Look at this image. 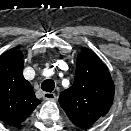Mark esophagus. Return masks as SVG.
Returning a JSON list of instances; mask_svg holds the SVG:
<instances>
[{"mask_svg":"<svg viewBox=\"0 0 131 131\" xmlns=\"http://www.w3.org/2000/svg\"><path fill=\"white\" fill-rule=\"evenodd\" d=\"M43 97H44L45 100H51V101L56 99L55 94L54 93H50V92L43 93Z\"/></svg>","mask_w":131,"mask_h":131,"instance_id":"34e87169","label":"esophagus"}]
</instances>
